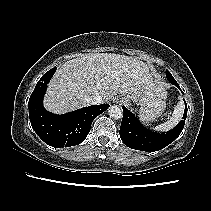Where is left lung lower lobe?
Segmentation results:
<instances>
[{
	"mask_svg": "<svg viewBox=\"0 0 211 211\" xmlns=\"http://www.w3.org/2000/svg\"><path fill=\"white\" fill-rule=\"evenodd\" d=\"M172 84L181 90L176 80H174ZM122 108L124 112L120 126V137L122 141L129 148L147 152L161 150L172 143L183 130L187 117V104L185 102L183 120H181L180 123L171 131L160 134L144 127L136 116L125 106Z\"/></svg>",
	"mask_w": 211,
	"mask_h": 211,
	"instance_id": "left-lung-lower-lobe-1",
	"label": "left lung lower lobe"
}]
</instances>
